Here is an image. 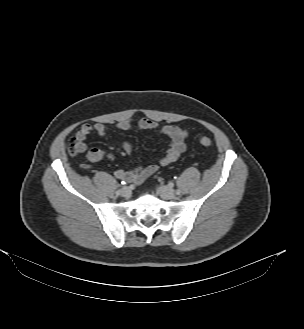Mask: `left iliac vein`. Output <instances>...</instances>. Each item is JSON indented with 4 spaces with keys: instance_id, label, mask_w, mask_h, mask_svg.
Returning a JSON list of instances; mask_svg holds the SVG:
<instances>
[{
    "instance_id": "left-iliac-vein-1",
    "label": "left iliac vein",
    "mask_w": 304,
    "mask_h": 329,
    "mask_svg": "<svg viewBox=\"0 0 304 329\" xmlns=\"http://www.w3.org/2000/svg\"><path fill=\"white\" fill-rule=\"evenodd\" d=\"M158 192L163 199H174L176 197L175 191L167 186L158 187Z\"/></svg>"
}]
</instances>
